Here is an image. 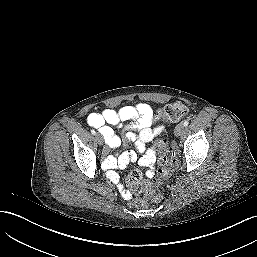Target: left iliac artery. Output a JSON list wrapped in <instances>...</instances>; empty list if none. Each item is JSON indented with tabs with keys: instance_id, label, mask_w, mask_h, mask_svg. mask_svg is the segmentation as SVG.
Returning <instances> with one entry per match:
<instances>
[{
	"instance_id": "left-iliac-artery-1",
	"label": "left iliac artery",
	"mask_w": 257,
	"mask_h": 257,
	"mask_svg": "<svg viewBox=\"0 0 257 257\" xmlns=\"http://www.w3.org/2000/svg\"><path fill=\"white\" fill-rule=\"evenodd\" d=\"M188 124H189V121H187V120H185V121L183 122V126H184V127L188 126Z\"/></svg>"
}]
</instances>
